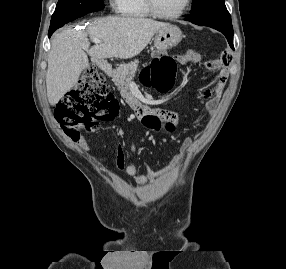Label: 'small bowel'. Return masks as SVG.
<instances>
[{
    "label": "small bowel",
    "mask_w": 286,
    "mask_h": 269,
    "mask_svg": "<svg viewBox=\"0 0 286 269\" xmlns=\"http://www.w3.org/2000/svg\"><path fill=\"white\" fill-rule=\"evenodd\" d=\"M175 59L180 65H189L200 62L203 59V56L195 50H187L184 53L176 55ZM204 65L209 70L218 71V76L214 86L215 95L211 97L209 91H206L204 94L206 99V110L209 116L213 117L217 110V102L229 75V61L227 55L224 54L220 59L207 61ZM123 93H132V88H123ZM123 99H134V94H123ZM130 104L131 106H138L139 103L138 101H131ZM134 115L135 120H145L146 116H161L159 119L160 123H166L167 121L171 123L176 120L175 114L170 111H166L165 108H145L144 105H141L140 108L134 112ZM81 145L83 147H87L86 141L81 140ZM190 145L191 139L187 138L184 141L182 152L172 159V164L177 165L183 161L185 153ZM130 149L134 153L136 151L135 144H131ZM116 167L119 170L124 169L126 173L133 177L140 185H143L146 180L158 182L165 176L164 172L154 171L149 167H146L144 172L140 174L138 166L133 160L126 162L125 151L122 145H118L116 148Z\"/></svg>",
    "instance_id": "1"
}]
</instances>
